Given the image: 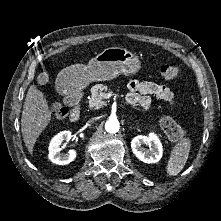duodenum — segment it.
<instances>
[{"mask_svg": "<svg viewBox=\"0 0 221 221\" xmlns=\"http://www.w3.org/2000/svg\"><path fill=\"white\" fill-rule=\"evenodd\" d=\"M60 92L66 97L68 105L71 107L70 120L76 122L81 117V104H82V93L75 91L69 87L63 86L60 88Z\"/></svg>", "mask_w": 221, "mask_h": 221, "instance_id": "duodenum-1", "label": "duodenum"}]
</instances>
